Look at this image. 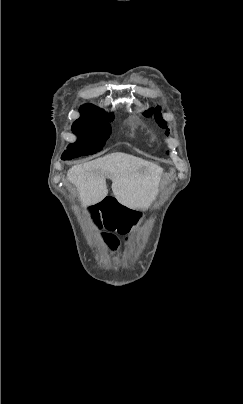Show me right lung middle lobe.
Segmentation results:
<instances>
[{"label":"right lung middle lobe","instance_id":"1","mask_svg":"<svg viewBox=\"0 0 243 404\" xmlns=\"http://www.w3.org/2000/svg\"><path fill=\"white\" fill-rule=\"evenodd\" d=\"M113 118L112 114L103 113L77 119L72 125V131L78 136V140L67 147L61 159L70 160L100 151L111 133L108 122Z\"/></svg>","mask_w":243,"mask_h":404}]
</instances>
